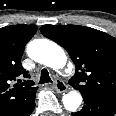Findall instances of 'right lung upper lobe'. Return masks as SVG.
<instances>
[{"instance_id":"cb5924a9","label":"right lung upper lobe","mask_w":116,"mask_h":116,"mask_svg":"<svg viewBox=\"0 0 116 116\" xmlns=\"http://www.w3.org/2000/svg\"><path fill=\"white\" fill-rule=\"evenodd\" d=\"M35 25L0 28V116H21L35 102L36 88L20 61Z\"/></svg>"}]
</instances>
